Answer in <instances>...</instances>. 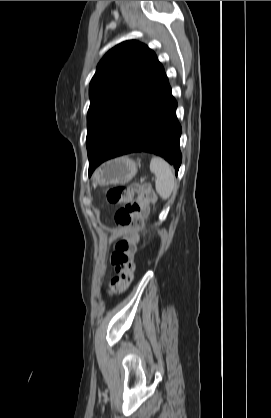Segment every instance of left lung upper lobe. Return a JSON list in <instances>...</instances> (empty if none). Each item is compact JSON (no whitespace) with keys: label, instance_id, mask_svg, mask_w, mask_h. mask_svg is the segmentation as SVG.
Returning a JSON list of instances; mask_svg holds the SVG:
<instances>
[{"label":"left lung upper lobe","instance_id":"1","mask_svg":"<svg viewBox=\"0 0 271 418\" xmlns=\"http://www.w3.org/2000/svg\"><path fill=\"white\" fill-rule=\"evenodd\" d=\"M163 71L155 53L134 40L122 42L106 53L89 86V160Z\"/></svg>","mask_w":271,"mask_h":418}]
</instances>
